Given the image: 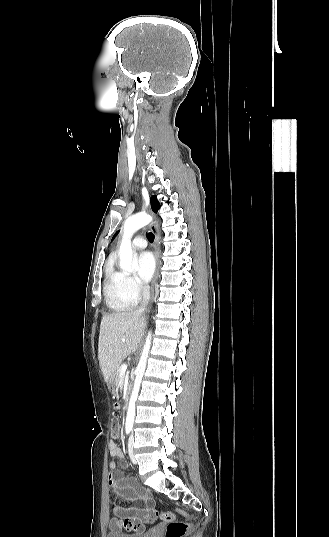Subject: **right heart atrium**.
<instances>
[{
  "label": "right heart atrium",
  "mask_w": 329,
  "mask_h": 537,
  "mask_svg": "<svg viewBox=\"0 0 329 537\" xmlns=\"http://www.w3.org/2000/svg\"><path fill=\"white\" fill-rule=\"evenodd\" d=\"M122 288L125 294L135 302L145 293V288L137 278L127 274L122 275Z\"/></svg>",
  "instance_id": "d8ad5b80"
}]
</instances>
